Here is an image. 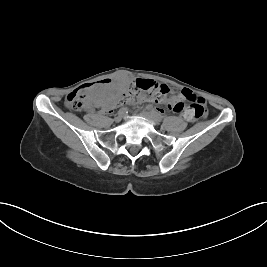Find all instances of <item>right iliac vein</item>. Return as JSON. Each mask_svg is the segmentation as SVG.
I'll return each mask as SVG.
<instances>
[{"label": "right iliac vein", "mask_w": 267, "mask_h": 267, "mask_svg": "<svg viewBox=\"0 0 267 267\" xmlns=\"http://www.w3.org/2000/svg\"><path fill=\"white\" fill-rule=\"evenodd\" d=\"M123 116H124L123 114H118V115L114 118L115 122H120V121L122 120Z\"/></svg>", "instance_id": "1"}]
</instances>
